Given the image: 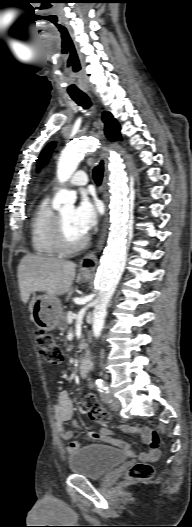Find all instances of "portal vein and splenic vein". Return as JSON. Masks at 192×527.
I'll list each match as a JSON object with an SVG mask.
<instances>
[{
    "label": "portal vein and splenic vein",
    "instance_id": "1",
    "mask_svg": "<svg viewBox=\"0 0 192 527\" xmlns=\"http://www.w3.org/2000/svg\"><path fill=\"white\" fill-rule=\"evenodd\" d=\"M74 317H75V314L72 313V312H69V313H68V316H67V321H68V323L71 324V323L73 322Z\"/></svg>",
    "mask_w": 192,
    "mask_h": 527
}]
</instances>
